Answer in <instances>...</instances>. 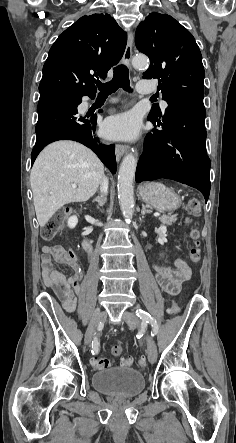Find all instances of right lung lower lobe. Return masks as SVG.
I'll list each match as a JSON object with an SVG mask.
<instances>
[{"instance_id": "1", "label": "right lung lower lobe", "mask_w": 236, "mask_h": 443, "mask_svg": "<svg viewBox=\"0 0 236 443\" xmlns=\"http://www.w3.org/2000/svg\"><path fill=\"white\" fill-rule=\"evenodd\" d=\"M85 96V95H83ZM83 96L53 91L40 94L38 122L35 128L37 139L31 154L32 164L39 152L57 140H74L92 149L114 174L116 172L115 145H105L94 136L96 116H80L77 106ZM88 96L94 97L95 94Z\"/></svg>"}]
</instances>
